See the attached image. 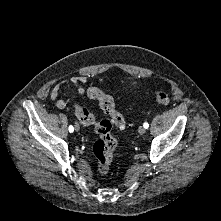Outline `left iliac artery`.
Instances as JSON below:
<instances>
[{
    "label": "left iliac artery",
    "mask_w": 221,
    "mask_h": 221,
    "mask_svg": "<svg viewBox=\"0 0 221 221\" xmlns=\"http://www.w3.org/2000/svg\"><path fill=\"white\" fill-rule=\"evenodd\" d=\"M143 126L147 129V128L149 127V124H148L147 122H145V123L143 124Z\"/></svg>",
    "instance_id": "1"
}]
</instances>
